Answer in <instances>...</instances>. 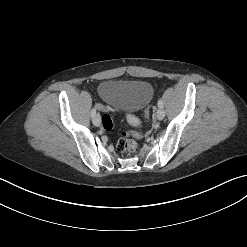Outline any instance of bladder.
Returning <instances> with one entry per match:
<instances>
[{
    "label": "bladder",
    "mask_w": 247,
    "mask_h": 247,
    "mask_svg": "<svg viewBox=\"0 0 247 247\" xmlns=\"http://www.w3.org/2000/svg\"><path fill=\"white\" fill-rule=\"evenodd\" d=\"M98 94L110 107L133 113L150 102L153 88L144 81L108 79L99 84Z\"/></svg>",
    "instance_id": "1"
}]
</instances>
